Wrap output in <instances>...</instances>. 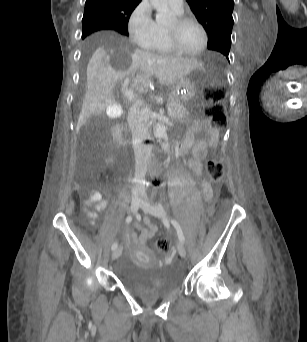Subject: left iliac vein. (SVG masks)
<instances>
[{"label":"left iliac vein","mask_w":307,"mask_h":342,"mask_svg":"<svg viewBox=\"0 0 307 342\" xmlns=\"http://www.w3.org/2000/svg\"><path fill=\"white\" fill-rule=\"evenodd\" d=\"M141 208L144 211H146V212H148L154 216H157L159 218H164L166 215L165 210L162 206L157 205V204H153L150 200L142 201ZM177 251L181 257H183V258L186 257V249H185V246L182 242L177 243Z\"/></svg>","instance_id":"left-iliac-vein-1"}]
</instances>
